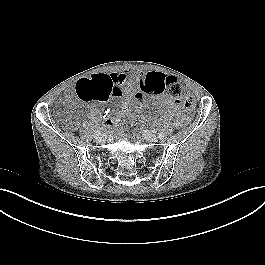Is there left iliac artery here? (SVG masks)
Returning <instances> with one entry per match:
<instances>
[{"instance_id": "left-iliac-artery-1", "label": "left iliac artery", "mask_w": 265, "mask_h": 265, "mask_svg": "<svg viewBox=\"0 0 265 265\" xmlns=\"http://www.w3.org/2000/svg\"><path fill=\"white\" fill-rule=\"evenodd\" d=\"M162 137H163V134H162V133H160V134H159V138H162Z\"/></svg>"}]
</instances>
